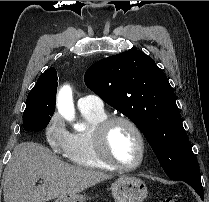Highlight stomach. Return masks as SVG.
<instances>
[{
	"mask_svg": "<svg viewBox=\"0 0 209 202\" xmlns=\"http://www.w3.org/2000/svg\"><path fill=\"white\" fill-rule=\"evenodd\" d=\"M115 202H143L148 196L146 184L137 177L121 176L112 184ZM86 195L75 194L59 197L55 202H85Z\"/></svg>",
	"mask_w": 209,
	"mask_h": 202,
	"instance_id": "stomach-1",
	"label": "stomach"
}]
</instances>
